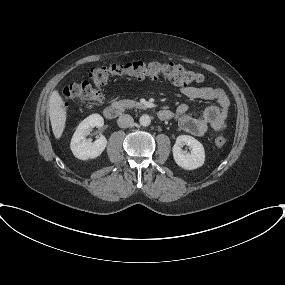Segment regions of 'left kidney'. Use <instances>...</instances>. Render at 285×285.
<instances>
[{
	"label": "left kidney",
	"instance_id": "1",
	"mask_svg": "<svg viewBox=\"0 0 285 285\" xmlns=\"http://www.w3.org/2000/svg\"><path fill=\"white\" fill-rule=\"evenodd\" d=\"M186 144L190 147V153L182 151L181 147ZM176 164L186 170H194L203 166L205 151L203 145L189 135H180L172 149Z\"/></svg>",
	"mask_w": 285,
	"mask_h": 285
}]
</instances>
